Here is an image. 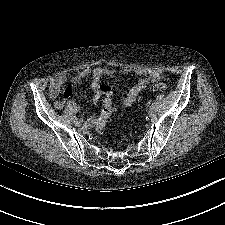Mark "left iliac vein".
<instances>
[{
    "instance_id": "4c4485c4",
    "label": "left iliac vein",
    "mask_w": 225,
    "mask_h": 225,
    "mask_svg": "<svg viewBox=\"0 0 225 225\" xmlns=\"http://www.w3.org/2000/svg\"><path fill=\"white\" fill-rule=\"evenodd\" d=\"M155 114H156L155 108L151 107L148 111L149 117L153 118L155 116Z\"/></svg>"
}]
</instances>
